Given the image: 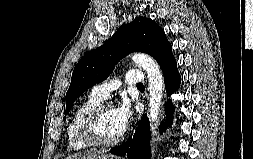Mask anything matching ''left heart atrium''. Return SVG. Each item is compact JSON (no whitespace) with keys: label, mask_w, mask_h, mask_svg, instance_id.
Instances as JSON below:
<instances>
[{"label":"left heart atrium","mask_w":253,"mask_h":159,"mask_svg":"<svg viewBox=\"0 0 253 159\" xmlns=\"http://www.w3.org/2000/svg\"><path fill=\"white\" fill-rule=\"evenodd\" d=\"M115 112H116V117L118 119V122H119L123 132L126 131L130 122L133 119V111H132L130 103L126 100H123L115 108Z\"/></svg>","instance_id":"1"}]
</instances>
